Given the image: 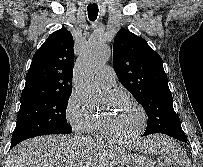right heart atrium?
Returning <instances> with one entry per match:
<instances>
[{"label":"right heart atrium","mask_w":203,"mask_h":167,"mask_svg":"<svg viewBox=\"0 0 203 167\" xmlns=\"http://www.w3.org/2000/svg\"><path fill=\"white\" fill-rule=\"evenodd\" d=\"M65 116L67 122L76 133L91 134L98 127L96 117L75 93H72L67 100Z\"/></svg>","instance_id":"1"}]
</instances>
